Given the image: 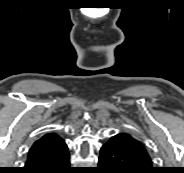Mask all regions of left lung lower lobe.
<instances>
[{
	"label": "left lung lower lobe",
	"mask_w": 184,
	"mask_h": 173,
	"mask_svg": "<svg viewBox=\"0 0 184 173\" xmlns=\"http://www.w3.org/2000/svg\"><path fill=\"white\" fill-rule=\"evenodd\" d=\"M98 169L100 173H157L128 148L126 133L116 134L101 147Z\"/></svg>",
	"instance_id": "obj_1"
}]
</instances>
